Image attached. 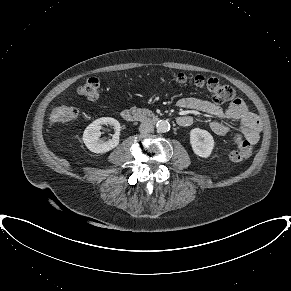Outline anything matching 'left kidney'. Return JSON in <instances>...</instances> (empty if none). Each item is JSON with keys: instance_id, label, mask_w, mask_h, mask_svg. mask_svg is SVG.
I'll return each instance as SVG.
<instances>
[{"instance_id": "5707ae66", "label": "left kidney", "mask_w": 291, "mask_h": 291, "mask_svg": "<svg viewBox=\"0 0 291 291\" xmlns=\"http://www.w3.org/2000/svg\"><path fill=\"white\" fill-rule=\"evenodd\" d=\"M190 144L197 156L208 158L214 148V139L208 131L194 128L190 131Z\"/></svg>"}]
</instances>
